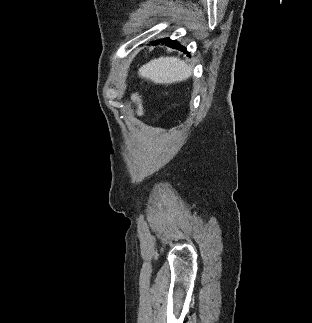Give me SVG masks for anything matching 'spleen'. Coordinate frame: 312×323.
Wrapping results in <instances>:
<instances>
[{
    "label": "spleen",
    "instance_id": "obj_1",
    "mask_svg": "<svg viewBox=\"0 0 312 323\" xmlns=\"http://www.w3.org/2000/svg\"><path fill=\"white\" fill-rule=\"evenodd\" d=\"M139 74L154 84H173L190 78L192 70L179 58H156L142 66Z\"/></svg>",
    "mask_w": 312,
    "mask_h": 323
}]
</instances>
